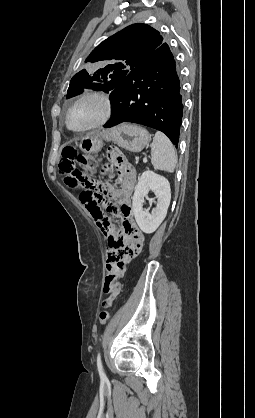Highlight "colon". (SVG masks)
Wrapping results in <instances>:
<instances>
[{"mask_svg": "<svg viewBox=\"0 0 255 418\" xmlns=\"http://www.w3.org/2000/svg\"><path fill=\"white\" fill-rule=\"evenodd\" d=\"M95 163L87 156L80 154L76 148L67 146L62 149L59 162V172L64 177L67 187L73 190H82L79 196L80 201L93 216V220L106 221L107 214L115 211L114 205L106 198L104 185L94 181L91 174L95 170ZM112 227H114L112 225ZM122 228H138L133 221H127ZM108 309H102L99 314V321L105 325L109 320Z\"/></svg>", "mask_w": 255, "mask_h": 418, "instance_id": "1", "label": "colon"}]
</instances>
